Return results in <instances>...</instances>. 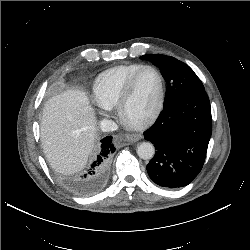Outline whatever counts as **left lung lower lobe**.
I'll list each match as a JSON object with an SVG mask.
<instances>
[{
	"label": "left lung lower lobe",
	"mask_w": 250,
	"mask_h": 250,
	"mask_svg": "<svg viewBox=\"0 0 250 250\" xmlns=\"http://www.w3.org/2000/svg\"><path fill=\"white\" fill-rule=\"evenodd\" d=\"M211 134V107L205 91L164 106L156 122L144 132V138L156 148L147 164L152 181L168 188L191 183L203 167Z\"/></svg>",
	"instance_id": "0a47b994"
}]
</instances>
